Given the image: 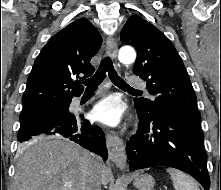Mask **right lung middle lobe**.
I'll use <instances>...</instances> for the list:
<instances>
[{"label": "right lung middle lobe", "mask_w": 221, "mask_h": 190, "mask_svg": "<svg viewBox=\"0 0 221 190\" xmlns=\"http://www.w3.org/2000/svg\"><path fill=\"white\" fill-rule=\"evenodd\" d=\"M69 100L46 103L34 107L23 108L20 114V127L40 119L67 104Z\"/></svg>", "instance_id": "obj_1"}]
</instances>
